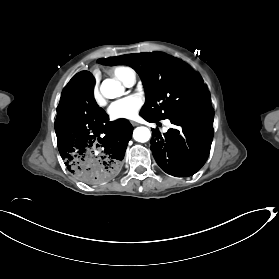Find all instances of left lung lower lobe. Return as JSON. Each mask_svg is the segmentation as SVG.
<instances>
[{
  "label": "left lung lower lobe",
  "mask_w": 279,
  "mask_h": 279,
  "mask_svg": "<svg viewBox=\"0 0 279 279\" xmlns=\"http://www.w3.org/2000/svg\"><path fill=\"white\" fill-rule=\"evenodd\" d=\"M154 122L148 116H142ZM213 108L170 119L178 129H169L161 135L153 129L151 150L160 168L169 175L187 177L205 164L213 139Z\"/></svg>",
  "instance_id": "0a47b994"
}]
</instances>
